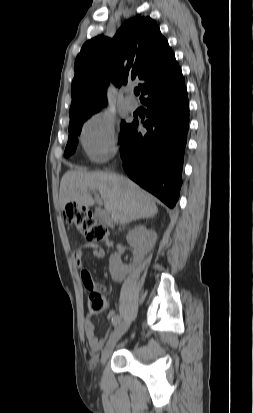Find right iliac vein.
I'll return each instance as SVG.
<instances>
[{"label":"right iliac vein","instance_id":"1","mask_svg":"<svg viewBox=\"0 0 253 413\" xmlns=\"http://www.w3.org/2000/svg\"><path fill=\"white\" fill-rule=\"evenodd\" d=\"M130 326V323L128 322H123L119 324L115 330L112 332L110 335V338L106 344L105 349L102 352L101 356V362L104 364L107 359L110 357L112 354V351L116 345V343L119 341V339L125 334V332L128 330Z\"/></svg>","mask_w":253,"mask_h":413}]
</instances>
